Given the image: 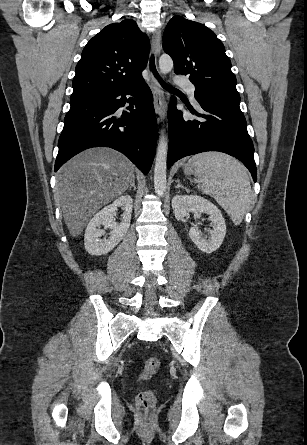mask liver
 Here are the masks:
<instances>
[{
	"label": "liver",
	"instance_id": "liver-1",
	"mask_svg": "<svg viewBox=\"0 0 307 445\" xmlns=\"http://www.w3.org/2000/svg\"><path fill=\"white\" fill-rule=\"evenodd\" d=\"M134 164L113 148H88L65 162L56 174L55 198L72 237L91 216L123 194L133 180Z\"/></svg>",
	"mask_w": 307,
	"mask_h": 445
}]
</instances>
